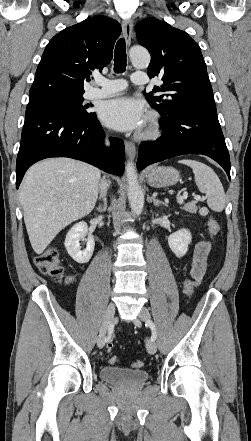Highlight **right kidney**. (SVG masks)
<instances>
[{
	"mask_svg": "<svg viewBox=\"0 0 251 441\" xmlns=\"http://www.w3.org/2000/svg\"><path fill=\"white\" fill-rule=\"evenodd\" d=\"M81 240L86 242L84 250H81ZM64 244L72 259L81 264L87 263L90 260L95 247L94 237L91 233H88V226L84 221L76 223L69 230Z\"/></svg>",
	"mask_w": 251,
	"mask_h": 441,
	"instance_id": "obj_1",
	"label": "right kidney"
}]
</instances>
